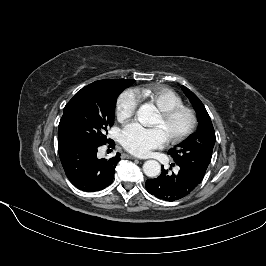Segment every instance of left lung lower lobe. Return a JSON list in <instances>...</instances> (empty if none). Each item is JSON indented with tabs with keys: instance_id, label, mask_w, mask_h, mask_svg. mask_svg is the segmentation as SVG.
I'll list each match as a JSON object with an SVG mask.
<instances>
[{
	"instance_id": "left-lung-lower-lobe-1",
	"label": "left lung lower lobe",
	"mask_w": 266,
	"mask_h": 266,
	"mask_svg": "<svg viewBox=\"0 0 266 266\" xmlns=\"http://www.w3.org/2000/svg\"><path fill=\"white\" fill-rule=\"evenodd\" d=\"M179 167L180 170L177 174L169 175L168 171L163 169L159 177L147 180L145 184L147 191L166 201L179 200L190 194L202 180L185 167Z\"/></svg>"
}]
</instances>
